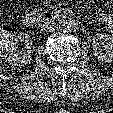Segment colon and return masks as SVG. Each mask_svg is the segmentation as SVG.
<instances>
[{"label":"colon","mask_w":113,"mask_h":113,"mask_svg":"<svg viewBox=\"0 0 113 113\" xmlns=\"http://www.w3.org/2000/svg\"><path fill=\"white\" fill-rule=\"evenodd\" d=\"M11 38V32L6 27L0 25V59L6 48L9 46Z\"/></svg>","instance_id":"obj_1"}]
</instances>
